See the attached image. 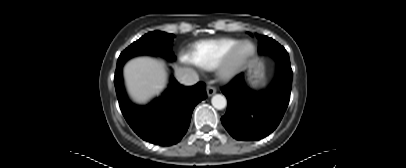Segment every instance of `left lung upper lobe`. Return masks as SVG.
Wrapping results in <instances>:
<instances>
[{
  "label": "left lung upper lobe",
  "mask_w": 406,
  "mask_h": 168,
  "mask_svg": "<svg viewBox=\"0 0 406 168\" xmlns=\"http://www.w3.org/2000/svg\"><path fill=\"white\" fill-rule=\"evenodd\" d=\"M259 52L261 54H269L274 56L276 59L282 57L289 58V55L285 48L281 46L278 42L267 36H262L259 39Z\"/></svg>",
  "instance_id": "1"
}]
</instances>
